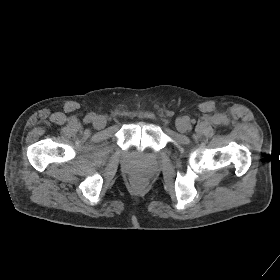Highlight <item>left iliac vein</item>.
<instances>
[{"label": "left iliac vein", "instance_id": "left-iliac-vein-1", "mask_svg": "<svg viewBox=\"0 0 280 280\" xmlns=\"http://www.w3.org/2000/svg\"><path fill=\"white\" fill-rule=\"evenodd\" d=\"M175 125H176L177 130L180 133H185L188 130V127H189L186 119H183V118H178L176 120Z\"/></svg>", "mask_w": 280, "mask_h": 280}]
</instances>
